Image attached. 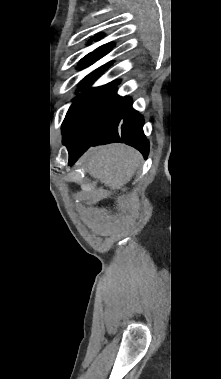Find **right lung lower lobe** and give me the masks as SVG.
<instances>
[{"label": "right lung lower lobe", "mask_w": 221, "mask_h": 379, "mask_svg": "<svg viewBox=\"0 0 221 379\" xmlns=\"http://www.w3.org/2000/svg\"><path fill=\"white\" fill-rule=\"evenodd\" d=\"M143 124L144 119L132 108L131 99L121 98L115 114L94 140L80 143L64 142L69 151V165L74 164L90 146L112 142L131 145L147 158L149 142L143 133Z\"/></svg>", "instance_id": "98d812e1"}]
</instances>
